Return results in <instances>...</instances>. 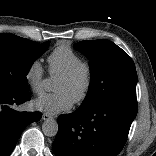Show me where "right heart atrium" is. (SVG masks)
Returning a JSON list of instances; mask_svg holds the SVG:
<instances>
[{
	"label": "right heart atrium",
	"instance_id": "obj_1",
	"mask_svg": "<svg viewBox=\"0 0 156 156\" xmlns=\"http://www.w3.org/2000/svg\"><path fill=\"white\" fill-rule=\"evenodd\" d=\"M25 81L34 94H41L44 83V69L39 60H34L25 72Z\"/></svg>",
	"mask_w": 156,
	"mask_h": 156
}]
</instances>
